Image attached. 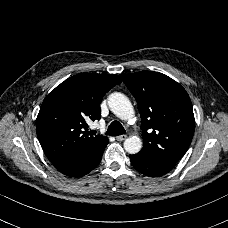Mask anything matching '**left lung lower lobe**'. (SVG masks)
<instances>
[{
    "label": "left lung lower lobe",
    "instance_id": "obj_1",
    "mask_svg": "<svg viewBox=\"0 0 228 228\" xmlns=\"http://www.w3.org/2000/svg\"><path fill=\"white\" fill-rule=\"evenodd\" d=\"M130 160L137 171L150 177L162 176L172 170L175 166V164L172 163H156L142 158L138 154L130 155Z\"/></svg>",
    "mask_w": 228,
    "mask_h": 228
}]
</instances>
